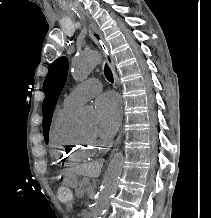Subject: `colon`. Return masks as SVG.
<instances>
[{"label": "colon", "instance_id": "obj_1", "mask_svg": "<svg viewBox=\"0 0 211 218\" xmlns=\"http://www.w3.org/2000/svg\"><path fill=\"white\" fill-rule=\"evenodd\" d=\"M57 198L63 204H68L73 199L71 189L66 185H61L57 189Z\"/></svg>", "mask_w": 211, "mask_h": 218}]
</instances>
